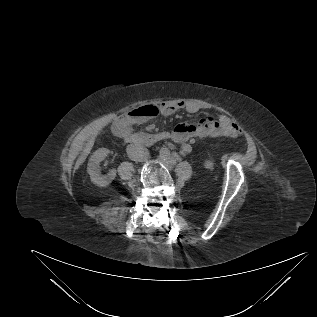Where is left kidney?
Returning <instances> with one entry per match:
<instances>
[{"mask_svg": "<svg viewBox=\"0 0 317 317\" xmlns=\"http://www.w3.org/2000/svg\"><path fill=\"white\" fill-rule=\"evenodd\" d=\"M204 167L207 169H212L213 168V161L212 160H205Z\"/></svg>", "mask_w": 317, "mask_h": 317, "instance_id": "obj_1", "label": "left kidney"}]
</instances>
